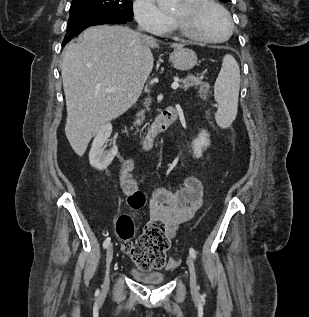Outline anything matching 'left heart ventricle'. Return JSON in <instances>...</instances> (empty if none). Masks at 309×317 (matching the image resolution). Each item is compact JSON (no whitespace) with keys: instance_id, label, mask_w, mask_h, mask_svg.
Here are the masks:
<instances>
[{"instance_id":"1","label":"left heart ventricle","mask_w":309,"mask_h":317,"mask_svg":"<svg viewBox=\"0 0 309 317\" xmlns=\"http://www.w3.org/2000/svg\"><path fill=\"white\" fill-rule=\"evenodd\" d=\"M173 15L182 18L192 31L206 37L221 38L228 32L225 17L213 7H206L194 15H186L182 4Z\"/></svg>"}]
</instances>
